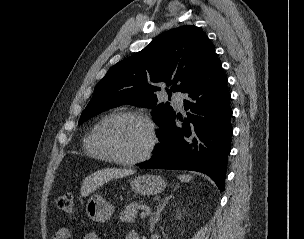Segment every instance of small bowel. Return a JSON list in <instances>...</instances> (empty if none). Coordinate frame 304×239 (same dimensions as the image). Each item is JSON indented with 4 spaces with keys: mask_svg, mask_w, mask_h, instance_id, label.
Masks as SVG:
<instances>
[{
    "mask_svg": "<svg viewBox=\"0 0 304 239\" xmlns=\"http://www.w3.org/2000/svg\"><path fill=\"white\" fill-rule=\"evenodd\" d=\"M137 233L134 231H131L127 234L126 239H132L133 236H135ZM73 234L72 231L68 228H59L55 231L52 239H72ZM84 239H101L97 233L95 232H88L85 234Z\"/></svg>",
    "mask_w": 304,
    "mask_h": 239,
    "instance_id": "obj_1",
    "label": "small bowel"
}]
</instances>
